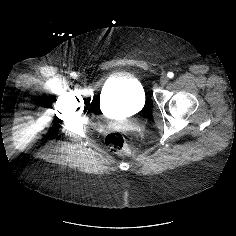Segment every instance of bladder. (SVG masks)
<instances>
[{
	"label": "bladder",
	"instance_id": "1",
	"mask_svg": "<svg viewBox=\"0 0 236 236\" xmlns=\"http://www.w3.org/2000/svg\"><path fill=\"white\" fill-rule=\"evenodd\" d=\"M102 109L110 114L116 106L126 113L141 111L145 105V92L140 80L131 74H116L108 78L100 92Z\"/></svg>",
	"mask_w": 236,
	"mask_h": 236
}]
</instances>
